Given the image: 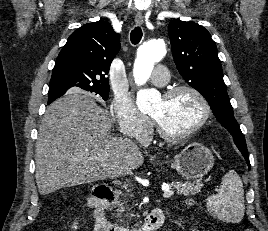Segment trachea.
Returning a JSON list of instances; mask_svg holds the SVG:
<instances>
[{
    "instance_id": "3493384b",
    "label": "trachea",
    "mask_w": 268,
    "mask_h": 231,
    "mask_svg": "<svg viewBox=\"0 0 268 231\" xmlns=\"http://www.w3.org/2000/svg\"><path fill=\"white\" fill-rule=\"evenodd\" d=\"M142 30L140 27H135L130 34V40L133 44H138L142 38Z\"/></svg>"
}]
</instances>
